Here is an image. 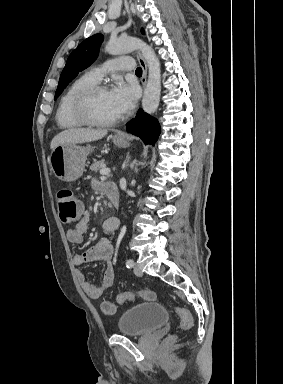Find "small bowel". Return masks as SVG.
<instances>
[{"label": "small bowel", "instance_id": "small-bowel-1", "mask_svg": "<svg viewBox=\"0 0 283 384\" xmlns=\"http://www.w3.org/2000/svg\"><path fill=\"white\" fill-rule=\"evenodd\" d=\"M106 184L99 181L93 182V187L97 191L104 192ZM90 215L88 211L81 210V218L75 227L70 228L66 232V237L69 242L79 244L83 241L85 232L88 229ZM120 227V221L116 217L107 218L102 226L104 236L101 237L92 247L83 253H78L73 256V264L77 267L85 264L102 260L105 262L103 277L99 285L90 282L83 272H77L78 281L83 291L92 299L99 298L102 293L109 289L114 282V268L112 264L114 256V247L109 239V236L116 232Z\"/></svg>", "mask_w": 283, "mask_h": 384}]
</instances>
